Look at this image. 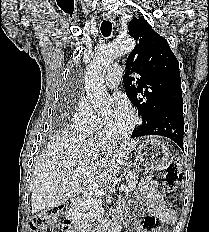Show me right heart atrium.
I'll return each mask as SVG.
<instances>
[{
	"label": "right heart atrium",
	"instance_id": "d8ad5b80",
	"mask_svg": "<svg viewBox=\"0 0 209 232\" xmlns=\"http://www.w3.org/2000/svg\"><path fill=\"white\" fill-rule=\"evenodd\" d=\"M101 119L93 111L88 98L80 95L71 116V126L79 132H90Z\"/></svg>",
	"mask_w": 209,
	"mask_h": 232
}]
</instances>
